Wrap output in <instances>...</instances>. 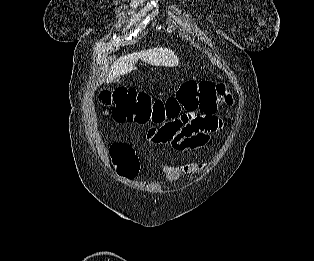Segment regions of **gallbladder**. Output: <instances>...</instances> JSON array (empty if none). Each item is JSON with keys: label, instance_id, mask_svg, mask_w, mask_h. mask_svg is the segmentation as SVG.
Wrapping results in <instances>:
<instances>
[{"label": "gallbladder", "instance_id": "obj_1", "mask_svg": "<svg viewBox=\"0 0 314 261\" xmlns=\"http://www.w3.org/2000/svg\"><path fill=\"white\" fill-rule=\"evenodd\" d=\"M120 80V77L114 78L113 82H118Z\"/></svg>", "mask_w": 314, "mask_h": 261}]
</instances>
